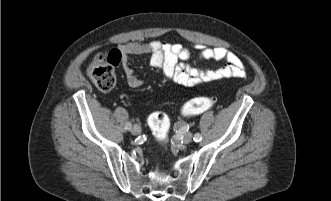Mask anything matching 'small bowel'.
I'll return each instance as SVG.
<instances>
[{"label": "small bowel", "mask_w": 331, "mask_h": 201, "mask_svg": "<svg viewBox=\"0 0 331 201\" xmlns=\"http://www.w3.org/2000/svg\"><path fill=\"white\" fill-rule=\"evenodd\" d=\"M199 58L202 60H225L224 66L212 69L202 68L195 63H189L191 50L179 43L153 40L148 43L127 42L119 46L117 52L122 62V68L127 84L138 88L143 84L129 64L132 55L150 56L151 67L161 70L164 76L182 86L193 87L201 83L217 81L226 78H245L246 71L240 58L224 47H208L195 45Z\"/></svg>", "instance_id": "small-bowel-1"}]
</instances>
